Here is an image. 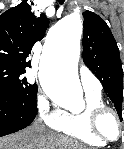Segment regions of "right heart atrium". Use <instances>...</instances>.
I'll list each match as a JSON object with an SVG mask.
<instances>
[{
  "label": "right heart atrium",
  "mask_w": 124,
  "mask_h": 149,
  "mask_svg": "<svg viewBox=\"0 0 124 149\" xmlns=\"http://www.w3.org/2000/svg\"><path fill=\"white\" fill-rule=\"evenodd\" d=\"M37 113L41 121L50 129L57 130L62 124L66 112L55 105L45 95H40L37 100Z\"/></svg>",
  "instance_id": "right-heart-atrium-1"
}]
</instances>
